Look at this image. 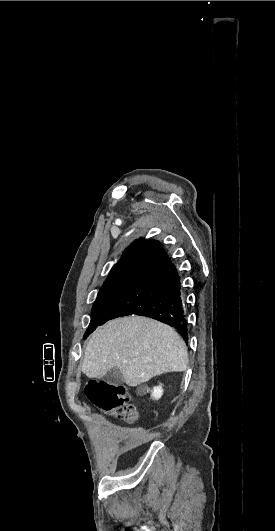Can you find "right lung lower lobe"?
Listing matches in <instances>:
<instances>
[{
  "label": "right lung lower lobe",
  "instance_id": "right-lung-lower-lobe-1",
  "mask_svg": "<svg viewBox=\"0 0 275 531\" xmlns=\"http://www.w3.org/2000/svg\"><path fill=\"white\" fill-rule=\"evenodd\" d=\"M126 315L147 316L164 322L188 340L180 278L166 252L156 258L110 307L100 325Z\"/></svg>",
  "mask_w": 275,
  "mask_h": 531
}]
</instances>
